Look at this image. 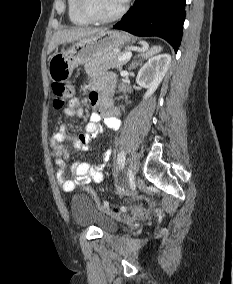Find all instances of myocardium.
<instances>
[{
    "mask_svg": "<svg viewBox=\"0 0 233 284\" xmlns=\"http://www.w3.org/2000/svg\"><path fill=\"white\" fill-rule=\"evenodd\" d=\"M128 8V1L124 0L122 7L113 15L102 17L97 15L91 8L90 0H80V10L82 14L91 22L94 23H111L121 18Z\"/></svg>",
    "mask_w": 233,
    "mask_h": 284,
    "instance_id": "obj_1",
    "label": "myocardium"
}]
</instances>
